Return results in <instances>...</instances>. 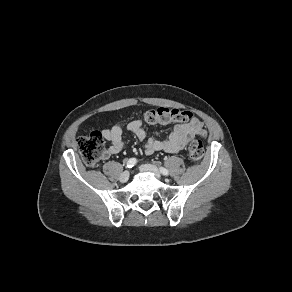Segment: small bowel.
<instances>
[{"instance_id": "c3829d8e", "label": "small bowel", "mask_w": 292, "mask_h": 292, "mask_svg": "<svg viewBox=\"0 0 292 292\" xmlns=\"http://www.w3.org/2000/svg\"><path fill=\"white\" fill-rule=\"evenodd\" d=\"M172 122H175V124L172 126L171 132L166 139L148 138L143 128L144 121L141 118L129 122L127 129L140 141L144 142V150L147 155H152L157 151L176 153L182 150L193 137L206 136L203 123L191 112L184 111V116L181 120ZM102 135L108 142V149L104 155L105 158L122 151L124 147V130L121 124H115L111 128L104 129Z\"/></svg>"}]
</instances>
